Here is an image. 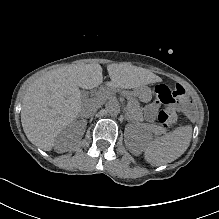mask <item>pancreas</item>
Segmentation results:
<instances>
[{"instance_id":"obj_1","label":"pancreas","mask_w":219,"mask_h":219,"mask_svg":"<svg viewBox=\"0 0 219 219\" xmlns=\"http://www.w3.org/2000/svg\"><path fill=\"white\" fill-rule=\"evenodd\" d=\"M104 95L105 96H112L113 94L116 97H119L121 99H127L126 104H127V109H126V114L129 120L135 121V122H140L143 119V114L141 112V107L140 105L137 104V101L135 99V91L128 89L125 90L122 87H115L114 85H107L104 88ZM148 129L152 132L160 133L162 131V128L159 125H149Z\"/></svg>"}]
</instances>
